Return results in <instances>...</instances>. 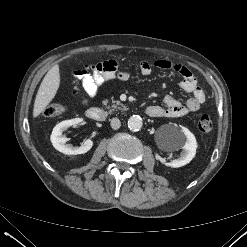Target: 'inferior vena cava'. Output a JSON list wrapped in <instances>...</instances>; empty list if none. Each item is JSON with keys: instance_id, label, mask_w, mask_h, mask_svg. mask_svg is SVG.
Listing matches in <instances>:
<instances>
[{"instance_id": "obj_1", "label": "inferior vena cava", "mask_w": 247, "mask_h": 247, "mask_svg": "<svg viewBox=\"0 0 247 247\" xmlns=\"http://www.w3.org/2000/svg\"><path fill=\"white\" fill-rule=\"evenodd\" d=\"M112 129L117 130L121 126V122L118 118H112L110 123Z\"/></svg>"}]
</instances>
